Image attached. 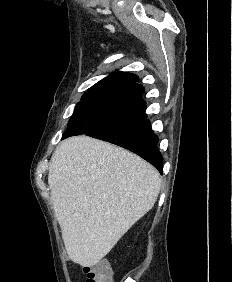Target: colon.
<instances>
[{"mask_svg": "<svg viewBox=\"0 0 232 282\" xmlns=\"http://www.w3.org/2000/svg\"><path fill=\"white\" fill-rule=\"evenodd\" d=\"M83 272L86 275L85 282H113L111 266L105 259L83 266Z\"/></svg>", "mask_w": 232, "mask_h": 282, "instance_id": "5ec220e1", "label": "colon"}]
</instances>
